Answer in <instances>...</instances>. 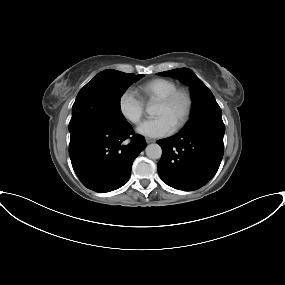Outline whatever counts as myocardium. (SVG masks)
<instances>
[{
	"label": "myocardium",
	"instance_id": "obj_1",
	"mask_svg": "<svg viewBox=\"0 0 285 285\" xmlns=\"http://www.w3.org/2000/svg\"><path fill=\"white\" fill-rule=\"evenodd\" d=\"M178 97H184L186 100V110L180 121L174 126V131L182 129L190 120L193 108H194V99L191 91L185 87H177L165 97L158 101V104L163 106L171 105Z\"/></svg>",
	"mask_w": 285,
	"mask_h": 285
}]
</instances>
